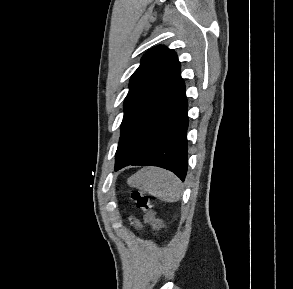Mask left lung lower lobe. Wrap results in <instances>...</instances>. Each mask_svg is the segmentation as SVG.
I'll use <instances>...</instances> for the list:
<instances>
[{
	"label": "left lung lower lobe",
	"mask_w": 293,
	"mask_h": 289,
	"mask_svg": "<svg viewBox=\"0 0 293 289\" xmlns=\"http://www.w3.org/2000/svg\"><path fill=\"white\" fill-rule=\"evenodd\" d=\"M187 105L181 79L124 133L121 145L132 154V159L115 170L129 165L158 166L174 172L184 181L187 172Z\"/></svg>",
	"instance_id": "obj_1"
}]
</instances>
